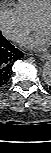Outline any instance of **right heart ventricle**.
Wrapping results in <instances>:
<instances>
[{
  "mask_svg": "<svg viewBox=\"0 0 51 153\" xmlns=\"http://www.w3.org/2000/svg\"><path fill=\"white\" fill-rule=\"evenodd\" d=\"M17 6L27 19L35 23L38 15L51 6V0H18Z\"/></svg>",
  "mask_w": 51,
  "mask_h": 153,
  "instance_id": "right-heart-ventricle-1",
  "label": "right heart ventricle"
}]
</instances>
